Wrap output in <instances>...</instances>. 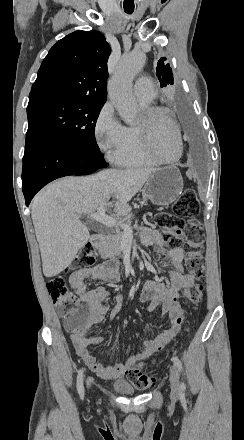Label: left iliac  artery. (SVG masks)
<instances>
[{"label":"left iliac artery","mask_w":244,"mask_h":440,"mask_svg":"<svg viewBox=\"0 0 244 440\" xmlns=\"http://www.w3.org/2000/svg\"><path fill=\"white\" fill-rule=\"evenodd\" d=\"M171 360L174 362V364L176 365L178 370L182 371L183 367H182V363H181L180 359L177 356H174ZM180 388L182 391H184L186 389V385L184 384V382L181 383Z\"/></svg>","instance_id":"obj_1"}]
</instances>
